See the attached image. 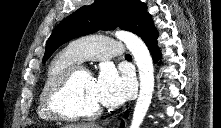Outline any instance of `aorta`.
I'll list each match as a JSON object with an SVG mask.
<instances>
[{
	"label": "aorta",
	"instance_id": "obj_1",
	"mask_svg": "<svg viewBox=\"0 0 221 128\" xmlns=\"http://www.w3.org/2000/svg\"><path fill=\"white\" fill-rule=\"evenodd\" d=\"M115 36L126 44L138 67L140 92L134 108L130 128H139L149 109L154 91L152 57L145 43L135 34L120 30L115 33Z\"/></svg>",
	"mask_w": 221,
	"mask_h": 128
}]
</instances>
